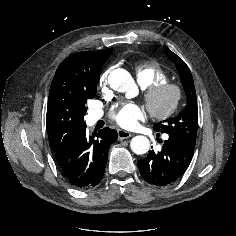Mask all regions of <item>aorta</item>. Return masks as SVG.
<instances>
[{"label": "aorta", "instance_id": "obj_1", "mask_svg": "<svg viewBox=\"0 0 236 236\" xmlns=\"http://www.w3.org/2000/svg\"><path fill=\"white\" fill-rule=\"evenodd\" d=\"M109 83L114 90L125 93L127 98H132L137 93V86L132 76L124 69L113 71L110 74ZM130 147L135 154L142 155L149 151L150 141L147 137L138 135L132 138Z\"/></svg>", "mask_w": 236, "mask_h": 236}]
</instances>
